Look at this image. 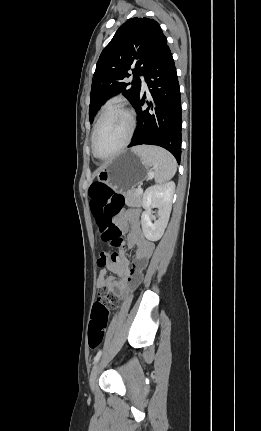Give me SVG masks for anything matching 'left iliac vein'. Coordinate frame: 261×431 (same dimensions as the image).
<instances>
[{
  "instance_id": "obj_1",
  "label": "left iliac vein",
  "mask_w": 261,
  "mask_h": 431,
  "mask_svg": "<svg viewBox=\"0 0 261 431\" xmlns=\"http://www.w3.org/2000/svg\"><path fill=\"white\" fill-rule=\"evenodd\" d=\"M101 364H102V359L98 360L92 369V372L90 375V380H89L90 388L92 391L95 390V385H96V381H97V377H98V374L100 371Z\"/></svg>"
}]
</instances>
